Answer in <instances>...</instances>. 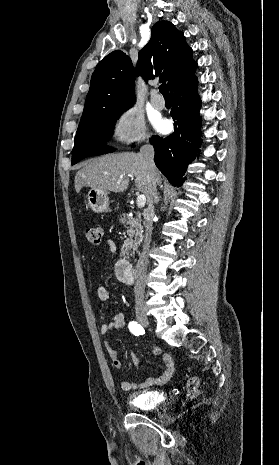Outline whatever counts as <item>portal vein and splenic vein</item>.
Listing matches in <instances>:
<instances>
[{"label":"portal vein and splenic vein","instance_id":"18ae733b","mask_svg":"<svg viewBox=\"0 0 279 465\" xmlns=\"http://www.w3.org/2000/svg\"><path fill=\"white\" fill-rule=\"evenodd\" d=\"M120 178H122V176ZM145 203H146L145 195L144 194L139 195L136 200L137 207L142 208L145 206Z\"/></svg>","mask_w":279,"mask_h":465}]
</instances>
